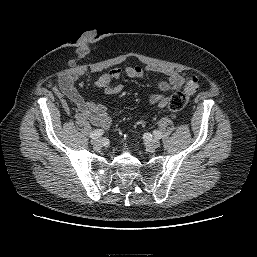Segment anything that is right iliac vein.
<instances>
[{"label":"right iliac vein","mask_w":257,"mask_h":257,"mask_svg":"<svg viewBox=\"0 0 257 257\" xmlns=\"http://www.w3.org/2000/svg\"><path fill=\"white\" fill-rule=\"evenodd\" d=\"M92 145L95 147V148H99L102 146V140L101 139H93L92 140Z\"/></svg>","instance_id":"obj_1"}]
</instances>
